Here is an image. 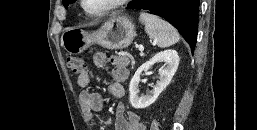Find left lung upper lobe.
<instances>
[{"mask_svg": "<svg viewBox=\"0 0 257 130\" xmlns=\"http://www.w3.org/2000/svg\"><path fill=\"white\" fill-rule=\"evenodd\" d=\"M73 0H63V4L65 7H67ZM140 0H133L129 6L135 5L139 2Z\"/></svg>", "mask_w": 257, "mask_h": 130, "instance_id": "5c2ea615", "label": "left lung upper lobe"}]
</instances>
